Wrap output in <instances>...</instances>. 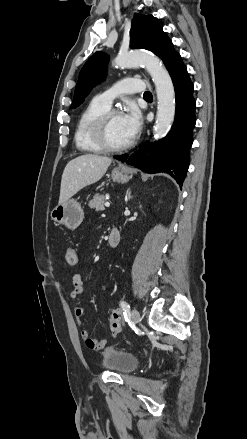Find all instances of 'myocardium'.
I'll return each instance as SVG.
<instances>
[{"mask_svg": "<svg viewBox=\"0 0 247 439\" xmlns=\"http://www.w3.org/2000/svg\"><path fill=\"white\" fill-rule=\"evenodd\" d=\"M120 115L117 110H108L102 114L94 124L93 137L97 145L106 152H121L129 149L134 141L131 139L125 144L114 146L108 140V125L112 116Z\"/></svg>", "mask_w": 247, "mask_h": 439, "instance_id": "obj_1", "label": "myocardium"}]
</instances>
